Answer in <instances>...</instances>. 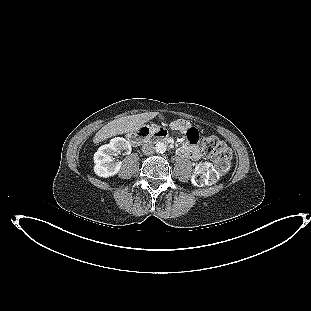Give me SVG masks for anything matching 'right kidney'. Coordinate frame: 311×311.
<instances>
[{
  "label": "right kidney",
  "mask_w": 311,
  "mask_h": 311,
  "mask_svg": "<svg viewBox=\"0 0 311 311\" xmlns=\"http://www.w3.org/2000/svg\"><path fill=\"white\" fill-rule=\"evenodd\" d=\"M132 150L131 144L122 137L113 138L109 144L101 146L94 154V172L97 176L107 178L116 175L122 163L114 161L112 156L126 151L129 154Z\"/></svg>",
  "instance_id": "ca27d5eb"
}]
</instances>
